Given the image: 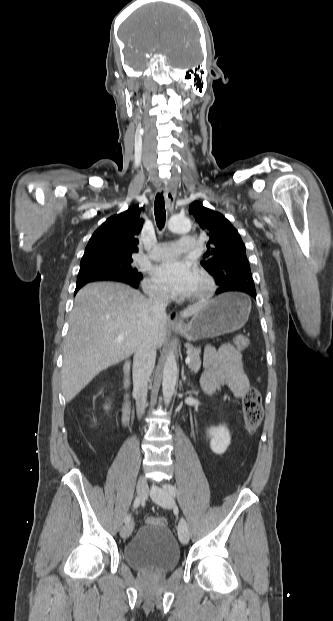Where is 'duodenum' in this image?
<instances>
[{"instance_id":"obj_1","label":"duodenum","mask_w":333,"mask_h":621,"mask_svg":"<svg viewBox=\"0 0 333 621\" xmlns=\"http://www.w3.org/2000/svg\"><path fill=\"white\" fill-rule=\"evenodd\" d=\"M123 387L126 391L125 395H124V402H123V407H122V422L124 426H128L131 420V404H130V400H129V388H130V363L127 362L124 365L123 368Z\"/></svg>"}]
</instances>
